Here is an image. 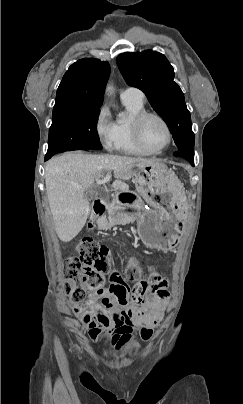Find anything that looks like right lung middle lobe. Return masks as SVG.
Returning <instances> with one entry per match:
<instances>
[{
  "instance_id": "right-lung-middle-lobe-1",
  "label": "right lung middle lobe",
  "mask_w": 243,
  "mask_h": 404,
  "mask_svg": "<svg viewBox=\"0 0 243 404\" xmlns=\"http://www.w3.org/2000/svg\"><path fill=\"white\" fill-rule=\"evenodd\" d=\"M100 106H65L53 108L45 161L57 153L72 150H100L97 133Z\"/></svg>"
}]
</instances>
